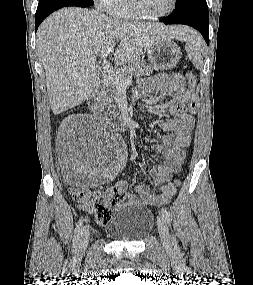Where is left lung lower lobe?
I'll use <instances>...</instances> for the list:
<instances>
[{
  "label": "left lung lower lobe",
  "instance_id": "left-lung-lower-lobe-1",
  "mask_svg": "<svg viewBox=\"0 0 253 285\" xmlns=\"http://www.w3.org/2000/svg\"><path fill=\"white\" fill-rule=\"evenodd\" d=\"M176 10L161 19L165 24H185L197 29L209 45V13L206 0H180Z\"/></svg>",
  "mask_w": 253,
  "mask_h": 285
}]
</instances>
